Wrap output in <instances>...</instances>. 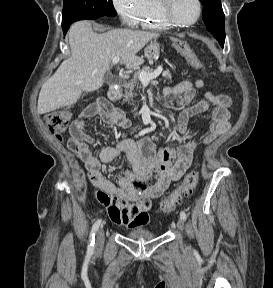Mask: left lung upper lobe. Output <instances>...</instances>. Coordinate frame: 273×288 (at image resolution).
I'll return each instance as SVG.
<instances>
[{"instance_id":"obj_1","label":"left lung upper lobe","mask_w":273,"mask_h":288,"mask_svg":"<svg viewBox=\"0 0 273 288\" xmlns=\"http://www.w3.org/2000/svg\"><path fill=\"white\" fill-rule=\"evenodd\" d=\"M203 4V20L210 33L213 35H225V15L221 6V0H200Z\"/></svg>"}]
</instances>
